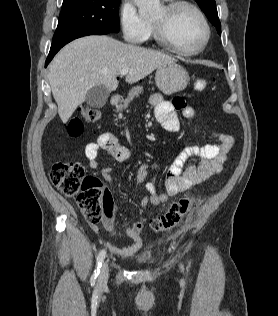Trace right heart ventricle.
I'll use <instances>...</instances> for the list:
<instances>
[{"instance_id": "obj_1", "label": "right heart ventricle", "mask_w": 278, "mask_h": 316, "mask_svg": "<svg viewBox=\"0 0 278 316\" xmlns=\"http://www.w3.org/2000/svg\"><path fill=\"white\" fill-rule=\"evenodd\" d=\"M153 36V30H152V25L150 22H148V31H147V35L145 37L144 40H148Z\"/></svg>"}]
</instances>
